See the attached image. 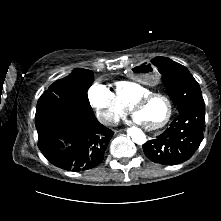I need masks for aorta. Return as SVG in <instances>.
<instances>
[{
	"mask_svg": "<svg viewBox=\"0 0 221 221\" xmlns=\"http://www.w3.org/2000/svg\"><path fill=\"white\" fill-rule=\"evenodd\" d=\"M127 134L128 136L131 137L134 143L139 144V145L144 144L147 140L144 132L137 127L128 128Z\"/></svg>",
	"mask_w": 221,
	"mask_h": 221,
	"instance_id": "aorta-1",
	"label": "aorta"
}]
</instances>
